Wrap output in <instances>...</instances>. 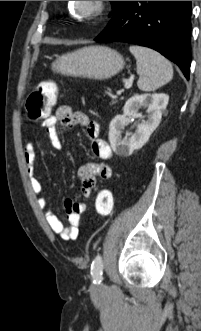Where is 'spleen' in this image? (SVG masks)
I'll use <instances>...</instances> for the list:
<instances>
[{
  "instance_id": "spleen-1",
  "label": "spleen",
  "mask_w": 201,
  "mask_h": 331,
  "mask_svg": "<svg viewBox=\"0 0 201 331\" xmlns=\"http://www.w3.org/2000/svg\"><path fill=\"white\" fill-rule=\"evenodd\" d=\"M129 50L136 59L140 90L154 91L173 78L172 64L157 51L139 45H131Z\"/></svg>"
}]
</instances>
